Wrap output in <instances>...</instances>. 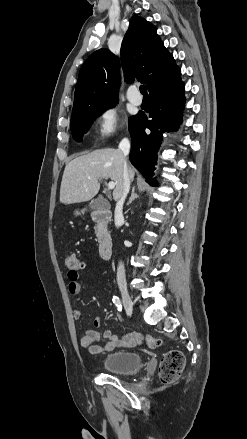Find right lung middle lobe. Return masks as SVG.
Returning a JSON list of instances; mask_svg holds the SVG:
<instances>
[{
    "label": "right lung middle lobe",
    "mask_w": 247,
    "mask_h": 439,
    "mask_svg": "<svg viewBox=\"0 0 247 439\" xmlns=\"http://www.w3.org/2000/svg\"><path fill=\"white\" fill-rule=\"evenodd\" d=\"M115 103L116 102H113L95 109L84 111L75 116H72L70 126L74 138L77 141H80L83 137V134L87 132L92 121L96 118V115L99 113H103L105 110L113 107ZM133 118L134 116L130 118L129 124L131 123Z\"/></svg>",
    "instance_id": "obj_1"
}]
</instances>
